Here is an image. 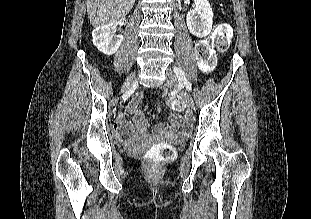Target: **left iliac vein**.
<instances>
[{
    "mask_svg": "<svg viewBox=\"0 0 311 219\" xmlns=\"http://www.w3.org/2000/svg\"><path fill=\"white\" fill-rule=\"evenodd\" d=\"M166 80H167L168 87L177 88L178 86L177 77L171 69L166 70ZM180 93L183 97V100L187 104V106L189 108H194V101H193L191 94L187 92L186 90H181Z\"/></svg>",
    "mask_w": 311,
    "mask_h": 219,
    "instance_id": "1",
    "label": "left iliac vein"
}]
</instances>
